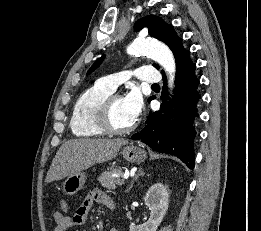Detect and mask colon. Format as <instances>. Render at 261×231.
Segmentation results:
<instances>
[{
  "label": "colon",
  "mask_w": 261,
  "mask_h": 231,
  "mask_svg": "<svg viewBox=\"0 0 261 231\" xmlns=\"http://www.w3.org/2000/svg\"><path fill=\"white\" fill-rule=\"evenodd\" d=\"M62 209L66 211V210L68 209V205H67L66 203H64V204L62 205Z\"/></svg>",
  "instance_id": "colon-1"
}]
</instances>
